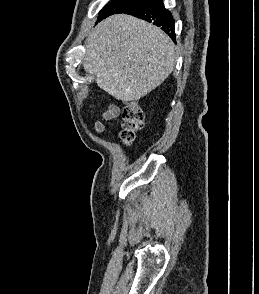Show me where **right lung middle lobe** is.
<instances>
[{
  "label": "right lung middle lobe",
  "instance_id": "1",
  "mask_svg": "<svg viewBox=\"0 0 259 294\" xmlns=\"http://www.w3.org/2000/svg\"><path fill=\"white\" fill-rule=\"evenodd\" d=\"M141 0H111L105 7L99 12L98 21L115 13H122L123 11L134 6Z\"/></svg>",
  "mask_w": 259,
  "mask_h": 294
}]
</instances>
